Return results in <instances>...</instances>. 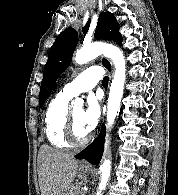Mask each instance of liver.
I'll return each instance as SVG.
<instances>
[{"label":"liver","instance_id":"6515ba94","mask_svg":"<svg viewBox=\"0 0 178 195\" xmlns=\"http://www.w3.org/2000/svg\"><path fill=\"white\" fill-rule=\"evenodd\" d=\"M79 161L49 146L40 147L38 179L41 195H67L78 174Z\"/></svg>","mask_w":178,"mask_h":195}]
</instances>
